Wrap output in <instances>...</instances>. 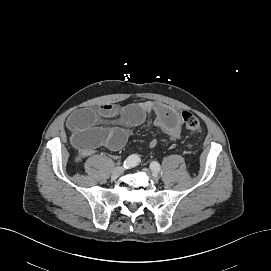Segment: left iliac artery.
<instances>
[{"label": "left iliac artery", "mask_w": 271, "mask_h": 271, "mask_svg": "<svg viewBox=\"0 0 271 271\" xmlns=\"http://www.w3.org/2000/svg\"><path fill=\"white\" fill-rule=\"evenodd\" d=\"M150 168L153 172L155 173H159L160 170H161V167H160V164L158 162H155L153 161L151 164H150Z\"/></svg>", "instance_id": "obj_1"}]
</instances>
